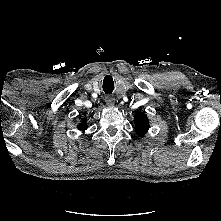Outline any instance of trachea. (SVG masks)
Wrapping results in <instances>:
<instances>
[{
  "label": "trachea",
  "mask_w": 221,
  "mask_h": 221,
  "mask_svg": "<svg viewBox=\"0 0 221 221\" xmlns=\"http://www.w3.org/2000/svg\"><path fill=\"white\" fill-rule=\"evenodd\" d=\"M113 89H114V83L112 80H109V81L105 80L103 82V90L106 94L107 93L111 94Z\"/></svg>",
  "instance_id": "1"
}]
</instances>
